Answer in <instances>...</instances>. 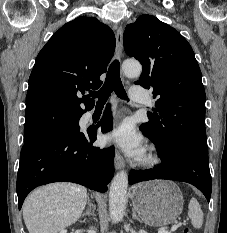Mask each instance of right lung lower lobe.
<instances>
[{"label": "right lung lower lobe", "instance_id": "98d812e1", "mask_svg": "<svg viewBox=\"0 0 227 233\" xmlns=\"http://www.w3.org/2000/svg\"><path fill=\"white\" fill-rule=\"evenodd\" d=\"M112 115L107 109L100 125L80 132H53L25 142L17 174L18 206L34 188L60 181L74 182L105 192L114 175V147L92 146L97 129H111Z\"/></svg>", "mask_w": 227, "mask_h": 233}]
</instances>
